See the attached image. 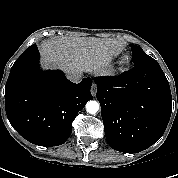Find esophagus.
<instances>
[{"instance_id": "1", "label": "esophagus", "mask_w": 178, "mask_h": 178, "mask_svg": "<svg viewBox=\"0 0 178 178\" xmlns=\"http://www.w3.org/2000/svg\"><path fill=\"white\" fill-rule=\"evenodd\" d=\"M96 91H97V86H96V84H93L92 87H91V94L93 96H95L96 95Z\"/></svg>"}]
</instances>
